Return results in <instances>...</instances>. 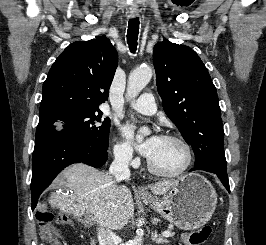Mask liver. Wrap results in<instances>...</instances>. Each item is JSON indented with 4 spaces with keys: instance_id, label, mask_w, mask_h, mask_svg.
<instances>
[{
    "instance_id": "obj_1",
    "label": "liver",
    "mask_w": 266,
    "mask_h": 245,
    "mask_svg": "<svg viewBox=\"0 0 266 245\" xmlns=\"http://www.w3.org/2000/svg\"><path fill=\"white\" fill-rule=\"evenodd\" d=\"M59 185L68 191L52 193L50 205L61 213L73 217H83L91 213L94 221L104 229H123L134 215L133 197L127 187H118L110 175L101 173L98 169L77 163L70 165L58 175ZM176 181H160L148 185L153 195H165Z\"/></svg>"
}]
</instances>
